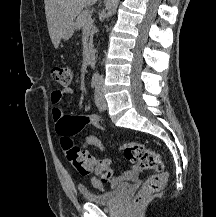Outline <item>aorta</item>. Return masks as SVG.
Returning <instances> with one entry per match:
<instances>
[{
  "mask_svg": "<svg viewBox=\"0 0 216 217\" xmlns=\"http://www.w3.org/2000/svg\"><path fill=\"white\" fill-rule=\"evenodd\" d=\"M119 0H111V6H110V11H109V16L113 15L116 11V8L118 6Z\"/></svg>",
  "mask_w": 216,
  "mask_h": 217,
  "instance_id": "1",
  "label": "aorta"
}]
</instances>
